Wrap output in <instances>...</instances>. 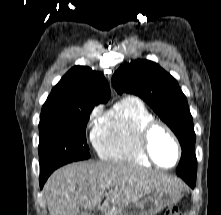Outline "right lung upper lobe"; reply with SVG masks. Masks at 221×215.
Segmentation results:
<instances>
[{
    "label": "right lung upper lobe",
    "instance_id": "obj_1",
    "mask_svg": "<svg viewBox=\"0 0 221 215\" xmlns=\"http://www.w3.org/2000/svg\"><path fill=\"white\" fill-rule=\"evenodd\" d=\"M110 98L107 80L87 66H75L52 89L44 105L99 104Z\"/></svg>",
    "mask_w": 221,
    "mask_h": 215
}]
</instances>
